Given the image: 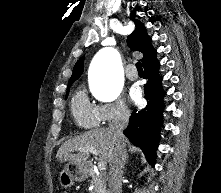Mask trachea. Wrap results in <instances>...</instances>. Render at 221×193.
<instances>
[{"label": "trachea", "instance_id": "trachea-1", "mask_svg": "<svg viewBox=\"0 0 221 193\" xmlns=\"http://www.w3.org/2000/svg\"><path fill=\"white\" fill-rule=\"evenodd\" d=\"M136 67L139 73H143V69H142V64L141 62H137L136 63Z\"/></svg>", "mask_w": 221, "mask_h": 193}]
</instances>
